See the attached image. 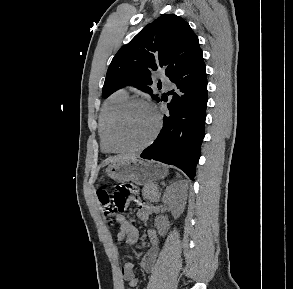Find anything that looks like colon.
<instances>
[{"instance_id":"colon-1","label":"colon","mask_w":293,"mask_h":289,"mask_svg":"<svg viewBox=\"0 0 293 289\" xmlns=\"http://www.w3.org/2000/svg\"><path fill=\"white\" fill-rule=\"evenodd\" d=\"M136 188L132 184H120L113 193H108L104 189L97 191L102 213L112 219L117 213L126 209L128 203L132 200ZM136 204L138 202L136 201Z\"/></svg>"}]
</instances>
